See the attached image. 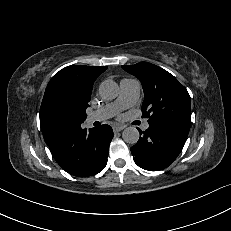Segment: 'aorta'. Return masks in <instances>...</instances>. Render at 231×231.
Listing matches in <instances>:
<instances>
[{
	"mask_svg": "<svg viewBox=\"0 0 231 231\" xmlns=\"http://www.w3.org/2000/svg\"><path fill=\"white\" fill-rule=\"evenodd\" d=\"M118 92L119 86L113 80H105L99 86V95L106 100L115 99ZM122 138L126 143L134 145L139 140V131L134 126L127 127L122 133Z\"/></svg>",
	"mask_w": 231,
	"mask_h": 231,
	"instance_id": "1",
	"label": "aorta"
}]
</instances>
